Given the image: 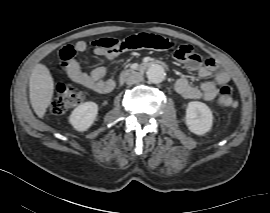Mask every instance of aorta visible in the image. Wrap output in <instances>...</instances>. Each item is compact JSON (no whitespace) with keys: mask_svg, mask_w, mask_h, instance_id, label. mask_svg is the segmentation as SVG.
<instances>
[{"mask_svg":"<svg viewBox=\"0 0 270 213\" xmlns=\"http://www.w3.org/2000/svg\"><path fill=\"white\" fill-rule=\"evenodd\" d=\"M147 78L151 83H161L165 79V71L161 65L154 64L151 65L147 72Z\"/></svg>","mask_w":270,"mask_h":213,"instance_id":"762f6f07","label":"aorta"}]
</instances>
